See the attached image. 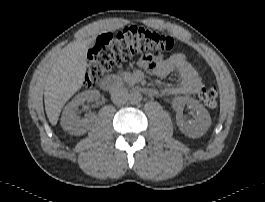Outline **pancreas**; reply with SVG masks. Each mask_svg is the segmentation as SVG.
Instances as JSON below:
<instances>
[{"label": "pancreas", "mask_w": 265, "mask_h": 202, "mask_svg": "<svg viewBox=\"0 0 265 202\" xmlns=\"http://www.w3.org/2000/svg\"><path fill=\"white\" fill-rule=\"evenodd\" d=\"M121 77L127 84L132 85V84L136 83L135 78L133 77L132 73H130V72L121 73Z\"/></svg>", "instance_id": "obj_1"}]
</instances>
